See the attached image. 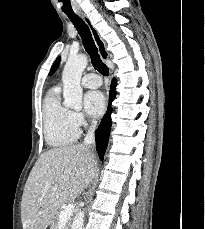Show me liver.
<instances>
[{
  "label": "liver",
  "instance_id": "obj_1",
  "mask_svg": "<svg viewBox=\"0 0 205 229\" xmlns=\"http://www.w3.org/2000/svg\"><path fill=\"white\" fill-rule=\"evenodd\" d=\"M96 169L95 155L82 145L53 148L41 154L24 187V229H46L60 206L83 192Z\"/></svg>",
  "mask_w": 205,
  "mask_h": 229
}]
</instances>
